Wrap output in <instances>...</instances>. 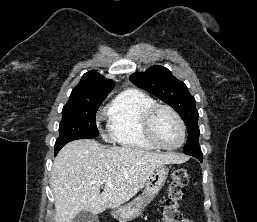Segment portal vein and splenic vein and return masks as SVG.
<instances>
[{"label": "portal vein and splenic vein", "mask_w": 257, "mask_h": 222, "mask_svg": "<svg viewBox=\"0 0 257 222\" xmlns=\"http://www.w3.org/2000/svg\"><path fill=\"white\" fill-rule=\"evenodd\" d=\"M106 182H107V184H109V185L111 184V180H110V179H108ZM102 183H103V182H102Z\"/></svg>", "instance_id": "obj_1"}]
</instances>
